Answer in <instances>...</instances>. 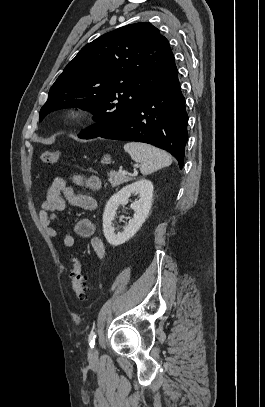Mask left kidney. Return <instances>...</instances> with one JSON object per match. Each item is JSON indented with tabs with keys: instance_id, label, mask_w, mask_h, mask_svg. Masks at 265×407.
<instances>
[{
	"instance_id": "5707ae66",
	"label": "left kidney",
	"mask_w": 265,
	"mask_h": 407,
	"mask_svg": "<svg viewBox=\"0 0 265 407\" xmlns=\"http://www.w3.org/2000/svg\"><path fill=\"white\" fill-rule=\"evenodd\" d=\"M132 194L139 195V200L131 204V208L135 212L134 217L129 220L123 232L116 234L112 226L114 216L116 215L118 207L127 204ZM152 196V182L150 180L140 179L125 186L108 200L103 214V232L109 244L119 246L136 234L148 217L152 206Z\"/></svg>"
}]
</instances>
